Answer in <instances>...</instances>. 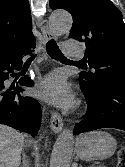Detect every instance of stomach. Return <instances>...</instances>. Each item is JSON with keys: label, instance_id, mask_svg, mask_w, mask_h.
<instances>
[{"label": "stomach", "instance_id": "stomach-1", "mask_svg": "<svg viewBox=\"0 0 125 167\" xmlns=\"http://www.w3.org/2000/svg\"><path fill=\"white\" fill-rule=\"evenodd\" d=\"M116 148L114 137L104 131L89 132L76 140L77 155L85 161L107 159L115 153Z\"/></svg>", "mask_w": 125, "mask_h": 167}]
</instances>
